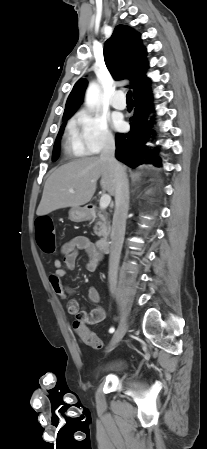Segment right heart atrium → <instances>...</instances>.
<instances>
[{
  "mask_svg": "<svg viewBox=\"0 0 207 449\" xmlns=\"http://www.w3.org/2000/svg\"><path fill=\"white\" fill-rule=\"evenodd\" d=\"M79 141L88 154H98L115 142L107 120L89 110H81L74 119Z\"/></svg>",
  "mask_w": 207,
  "mask_h": 449,
  "instance_id": "obj_1",
  "label": "right heart atrium"
}]
</instances>
